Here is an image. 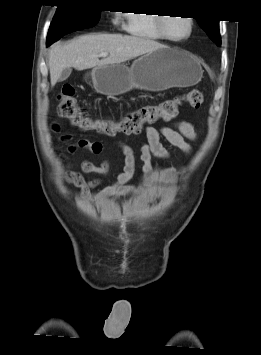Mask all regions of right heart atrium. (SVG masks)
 <instances>
[{
	"label": "right heart atrium",
	"mask_w": 261,
	"mask_h": 355,
	"mask_svg": "<svg viewBox=\"0 0 261 355\" xmlns=\"http://www.w3.org/2000/svg\"><path fill=\"white\" fill-rule=\"evenodd\" d=\"M114 23H115L116 25L123 24V23H124V18H123V16L116 17V18L114 19Z\"/></svg>",
	"instance_id": "1"
}]
</instances>
